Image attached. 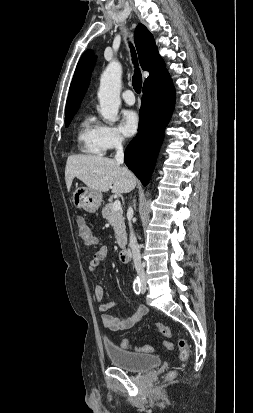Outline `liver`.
I'll return each mask as SVG.
<instances>
[{
  "mask_svg": "<svg viewBox=\"0 0 253 413\" xmlns=\"http://www.w3.org/2000/svg\"><path fill=\"white\" fill-rule=\"evenodd\" d=\"M77 177L88 188L98 192L121 194L136 186L134 174L121 167L116 160L99 155L69 156L65 167V181L70 191L73 179Z\"/></svg>",
  "mask_w": 253,
  "mask_h": 413,
  "instance_id": "obj_1",
  "label": "liver"
}]
</instances>
